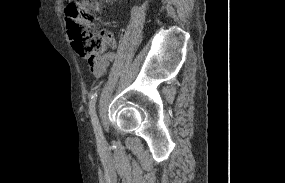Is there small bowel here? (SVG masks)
<instances>
[{
	"label": "small bowel",
	"instance_id": "1",
	"mask_svg": "<svg viewBox=\"0 0 285 183\" xmlns=\"http://www.w3.org/2000/svg\"><path fill=\"white\" fill-rule=\"evenodd\" d=\"M82 9L88 13H100L102 10L101 0H82ZM115 59L113 53H108L102 58L90 62V71L96 78L102 77L109 66V64Z\"/></svg>",
	"mask_w": 285,
	"mask_h": 183
}]
</instances>
